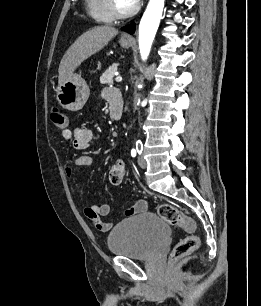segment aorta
<instances>
[{
	"label": "aorta",
	"mask_w": 261,
	"mask_h": 306,
	"mask_svg": "<svg viewBox=\"0 0 261 306\" xmlns=\"http://www.w3.org/2000/svg\"><path fill=\"white\" fill-rule=\"evenodd\" d=\"M165 0H149L139 25V49L142 60L149 56L162 17Z\"/></svg>",
	"instance_id": "obj_1"
}]
</instances>
